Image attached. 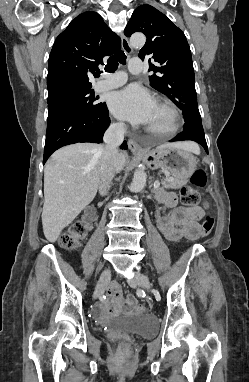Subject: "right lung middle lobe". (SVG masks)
<instances>
[{"mask_svg": "<svg viewBox=\"0 0 249 382\" xmlns=\"http://www.w3.org/2000/svg\"><path fill=\"white\" fill-rule=\"evenodd\" d=\"M97 100L98 97H95L92 89H89L50 102L47 123L72 115L95 114L102 106V102Z\"/></svg>", "mask_w": 249, "mask_h": 382, "instance_id": "right-lung-middle-lobe-1", "label": "right lung middle lobe"}]
</instances>
